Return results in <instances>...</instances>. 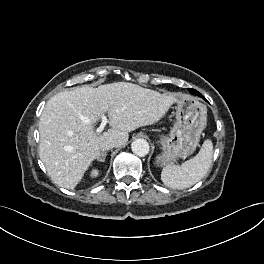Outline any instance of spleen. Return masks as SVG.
<instances>
[{
    "label": "spleen",
    "mask_w": 264,
    "mask_h": 264,
    "mask_svg": "<svg viewBox=\"0 0 264 264\" xmlns=\"http://www.w3.org/2000/svg\"><path fill=\"white\" fill-rule=\"evenodd\" d=\"M213 144L210 139L204 141L199 153L181 166L167 165L161 172L162 182L173 189L191 187L200 181L212 164Z\"/></svg>",
    "instance_id": "3e777b00"
}]
</instances>
